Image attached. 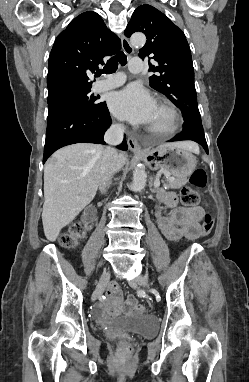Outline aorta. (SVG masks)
<instances>
[{
	"mask_svg": "<svg viewBox=\"0 0 249 382\" xmlns=\"http://www.w3.org/2000/svg\"><path fill=\"white\" fill-rule=\"evenodd\" d=\"M146 42L145 35L138 33L131 36V43L134 46H143ZM147 174L141 167H136L133 171V181L131 189L133 191H141L146 185Z\"/></svg>",
	"mask_w": 249,
	"mask_h": 382,
	"instance_id": "aorta-1",
	"label": "aorta"
}]
</instances>
